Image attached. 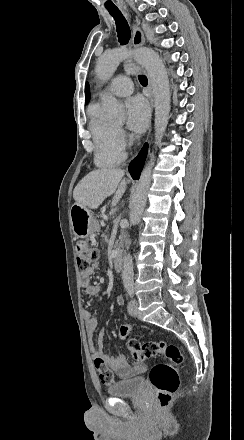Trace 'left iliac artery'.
<instances>
[{
    "label": "left iliac artery",
    "instance_id": "obj_1",
    "mask_svg": "<svg viewBox=\"0 0 244 440\" xmlns=\"http://www.w3.org/2000/svg\"><path fill=\"white\" fill-rule=\"evenodd\" d=\"M128 293H129V295H130L131 297H133V294H134V288H133V286H129V287H128Z\"/></svg>",
    "mask_w": 244,
    "mask_h": 440
}]
</instances>
